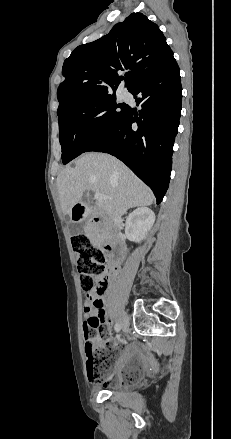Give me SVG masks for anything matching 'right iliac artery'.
Wrapping results in <instances>:
<instances>
[{
  "mask_svg": "<svg viewBox=\"0 0 231 439\" xmlns=\"http://www.w3.org/2000/svg\"><path fill=\"white\" fill-rule=\"evenodd\" d=\"M114 328H115V331H116V332H119L120 329H121L120 324H119V323H116Z\"/></svg>",
  "mask_w": 231,
  "mask_h": 439,
  "instance_id": "1",
  "label": "right iliac artery"
}]
</instances>
